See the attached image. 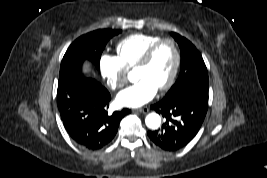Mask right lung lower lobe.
I'll list each match as a JSON object with an SVG mask.
<instances>
[{"label":"right lung lower lobe","mask_w":267,"mask_h":178,"mask_svg":"<svg viewBox=\"0 0 267 178\" xmlns=\"http://www.w3.org/2000/svg\"><path fill=\"white\" fill-rule=\"evenodd\" d=\"M110 93L98 81L78 78L58 83L57 105L64 127L72 140L89 150L107 146L129 109L107 111Z\"/></svg>","instance_id":"obj_1"}]
</instances>
